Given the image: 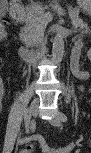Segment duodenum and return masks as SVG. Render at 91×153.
Here are the masks:
<instances>
[{
	"instance_id": "1",
	"label": "duodenum",
	"mask_w": 91,
	"mask_h": 153,
	"mask_svg": "<svg viewBox=\"0 0 91 153\" xmlns=\"http://www.w3.org/2000/svg\"><path fill=\"white\" fill-rule=\"evenodd\" d=\"M13 15L15 16L17 21H22L23 16H24V12L22 10H15L13 12ZM18 53L22 59H24L26 61H31V60L36 59L40 54H42V51L29 49L26 46H21L18 50Z\"/></svg>"
}]
</instances>
